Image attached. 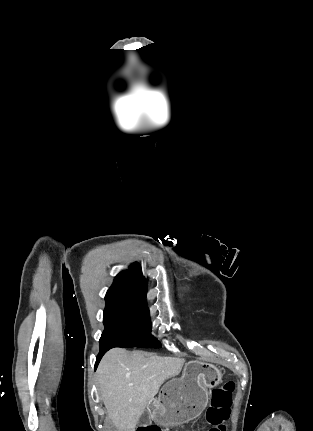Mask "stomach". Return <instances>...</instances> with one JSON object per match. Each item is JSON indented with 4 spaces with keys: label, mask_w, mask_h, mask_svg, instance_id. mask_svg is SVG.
<instances>
[{
    "label": "stomach",
    "mask_w": 313,
    "mask_h": 431,
    "mask_svg": "<svg viewBox=\"0 0 313 431\" xmlns=\"http://www.w3.org/2000/svg\"><path fill=\"white\" fill-rule=\"evenodd\" d=\"M221 382L222 373L216 366L188 362L182 376L168 381L149 404L153 419L162 426H178L197 418L208 404V389Z\"/></svg>",
    "instance_id": "0dacf381"
}]
</instances>
